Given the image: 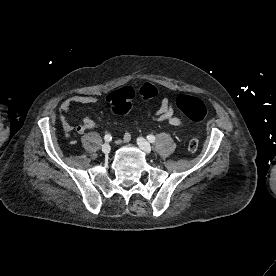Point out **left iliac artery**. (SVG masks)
<instances>
[{
  "mask_svg": "<svg viewBox=\"0 0 276 276\" xmlns=\"http://www.w3.org/2000/svg\"><path fill=\"white\" fill-rule=\"evenodd\" d=\"M147 139H148L151 143H153V142L155 141V137H154L153 135H148V136H147Z\"/></svg>",
  "mask_w": 276,
  "mask_h": 276,
  "instance_id": "left-iliac-artery-1",
  "label": "left iliac artery"
}]
</instances>
